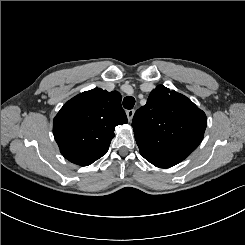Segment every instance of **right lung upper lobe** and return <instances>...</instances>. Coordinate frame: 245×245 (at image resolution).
<instances>
[{
  "label": "right lung upper lobe",
  "instance_id": "cb5924a9",
  "mask_svg": "<svg viewBox=\"0 0 245 245\" xmlns=\"http://www.w3.org/2000/svg\"><path fill=\"white\" fill-rule=\"evenodd\" d=\"M125 123L120 93L95 88L64 104L54 118L53 134L66 159L87 166L108 151L115 126Z\"/></svg>",
  "mask_w": 245,
  "mask_h": 245
}]
</instances>
